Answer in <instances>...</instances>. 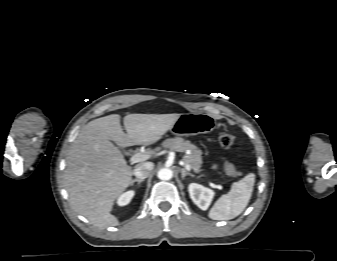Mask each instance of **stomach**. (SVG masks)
Here are the masks:
<instances>
[{"label": "stomach", "mask_w": 337, "mask_h": 261, "mask_svg": "<svg viewBox=\"0 0 337 261\" xmlns=\"http://www.w3.org/2000/svg\"><path fill=\"white\" fill-rule=\"evenodd\" d=\"M214 118L206 113L180 114L170 131L177 136H195L215 129Z\"/></svg>", "instance_id": "obj_1"}]
</instances>
